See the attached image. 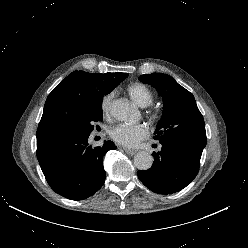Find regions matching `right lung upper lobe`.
Instances as JSON below:
<instances>
[{
  "mask_svg": "<svg viewBox=\"0 0 248 248\" xmlns=\"http://www.w3.org/2000/svg\"><path fill=\"white\" fill-rule=\"evenodd\" d=\"M124 74L72 72L49 94L38 126V134L50 130L63 115L83 110L103 90L120 83ZM46 124L50 129L45 128Z\"/></svg>",
  "mask_w": 248,
  "mask_h": 248,
  "instance_id": "1",
  "label": "right lung upper lobe"
}]
</instances>
